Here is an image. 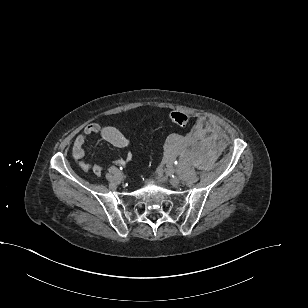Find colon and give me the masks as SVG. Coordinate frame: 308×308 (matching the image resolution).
<instances>
[{
    "label": "colon",
    "instance_id": "5ec220e1",
    "mask_svg": "<svg viewBox=\"0 0 308 308\" xmlns=\"http://www.w3.org/2000/svg\"><path fill=\"white\" fill-rule=\"evenodd\" d=\"M172 123L178 126H186L189 123V116L183 112L174 111L170 114Z\"/></svg>",
    "mask_w": 308,
    "mask_h": 308
}]
</instances>
